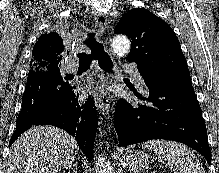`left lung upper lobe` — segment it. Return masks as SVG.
Segmentation results:
<instances>
[{
  "label": "left lung upper lobe",
  "mask_w": 219,
  "mask_h": 173,
  "mask_svg": "<svg viewBox=\"0 0 219 173\" xmlns=\"http://www.w3.org/2000/svg\"><path fill=\"white\" fill-rule=\"evenodd\" d=\"M131 38L129 62L156 76L159 88L191 82L186 59L172 28L143 8L128 11L115 28Z\"/></svg>",
  "instance_id": "obj_1"
}]
</instances>
